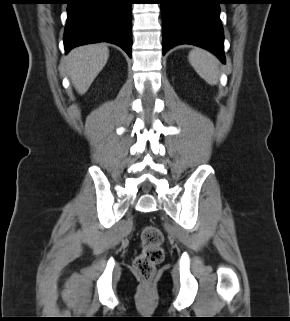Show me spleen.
<instances>
[{
  "label": "spleen",
  "instance_id": "1",
  "mask_svg": "<svg viewBox=\"0 0 290 321\" xmlns=\"http://www.w3.org/2000/svg\"><path fill=\"white\" fill-rule=\"evenodd\" d=\"M189 61L195 71L208 84H217L219 77L218 60L214 55L202 49H194L189 53Z\"/></svg>",
  "mask_w": 290,
  "mask_h": 321
}]
</instances>
